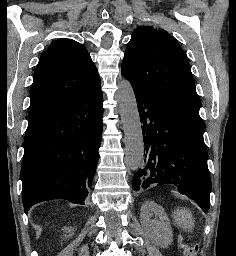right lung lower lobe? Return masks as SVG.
Returning a JSON list of instances; mask_svg holds the SVG:
<instances>
[{"mask_svg": "<svg viewBox=\"0 0 236 256\" xmlns=\"http://www.w3.org/2000/svg\"><path fill=\"white\" fill-rule=\"evenodd\" d=\"M102 104L99 85L28 125L21 168L26 213L51 199L84 204L99 157Z\"/></svg>", "mask_w": 236, "mask_h": 256, "instance_id": "right-lung-lower-lobe-1", "label": "right lung lower lobe"}]
</instances>
